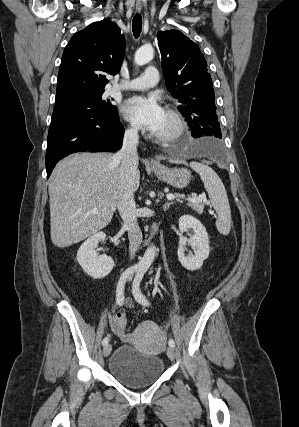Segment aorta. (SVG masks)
Segmentation results:
<instances>
[{"mask_svg":"<svg viewBox=\"0 0 299 427\" xmlns=\"http://www.w3.org/2000/svg\"><path fill=\"white\" fill-rule=\"evenodd\" d=\"M153 57H154L153 47L151 45H144L136 51L134 62L137 65L142 66L150 62L153 59ZM155 255H156V247L152 244L146 249L142 259L138 264L139 267L142 270H147L152 264V262L154 261Z\"/></svg>","mask_w":299,"mask_h":427,"instance_id":"obj_1","label":"aorta"}]
</instances>
